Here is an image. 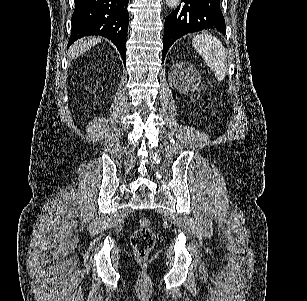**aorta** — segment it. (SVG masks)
Instances as JSON below:
<instances>
[{
    "instance_id": "762f6f07",
    "label": "aorta",
    "mask_w": 307,
    "mask_h": 301,
    "mask_svg": "<svg viewBox=\"0 0 307 301\" xmlns=\"http://www.w3.org/2000/svg\"><path fill=\"white\" fill-rule=\"evenodd\" d=\"M180 0H166L167 6H170V8H176L178 6Z\"/></svg>"
}]
</instances>
